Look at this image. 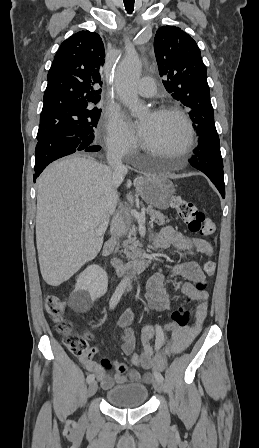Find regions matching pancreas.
Instances as JSON below:
<instances>
[{"mask_svg": "<svg viewBox=\"0 0 259 448\" xmlns=\"http://www.w3.org/2000/svg\"><path fill=\"white\" fill-rule=\"evenodd\" d=\"M147 214H149L151 220L156 222L158 226H165L166 222H170L167 216H163L161 212L158 210H153V208H147ZM131 236H136L135 228H132L128 234V240H125L123 246H125V254L129 260H135V258H139L141 254V248H139V242H136L137 238H131ZM128 244H132V246H128ZM127 250H131V252H127Z\"/></svg>", "mask_w": 259, "mask_h": 448, "instance_id": "1", "label": "pancreas"}]
</instances>
